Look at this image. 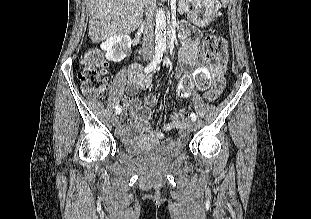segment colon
Returning <instances> with one entry per match:
<instances>
[{"label": "colon", "instance_id": "5ec220e1", "mask_svg": "<svg viewBox=\"0 0 311 219\" xmlns=\"http://www.w3.org/2000/svg\"><path fill=\"white\" fill-rule=\"evenodd\" d=\"M228 42L222 36H207L201 45V54L205 60L212 64V71L224 73V63L227 58ZM107 65L98 48H89L81 59V71L79 79L84 95L89 99H97L104 95L107 89L106 83ZM194 82L200 89L209 85L210 73L201 72L194 78ZM190 81L179 87V93L187 94Z\"/></svg>", "mask_w": 311, "mask_h": 219}]
</instances>
